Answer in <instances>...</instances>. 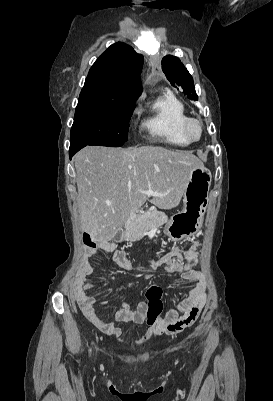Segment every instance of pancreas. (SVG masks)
<instances>
[{
	"label": "pancreas",
	"mask_w": 273,
	"mask_h": 401,
	"mask_svg": "<svg viewBox=\"0 0 273 401\" xmlns=\"http://www.w3.org/2000/svg\"><path fill=\"white\" fill-rule=\"evenodd\" d=\"M167 221V215L161 211H156V209L150 213H140L136 221L126 223V239L127 241H140L144 237V233L161 227Z\"/></svg>",
	"instance_id": "pancreas-1"
}]
</instances>
